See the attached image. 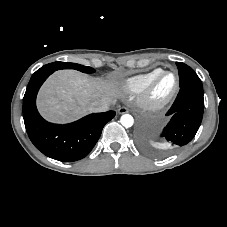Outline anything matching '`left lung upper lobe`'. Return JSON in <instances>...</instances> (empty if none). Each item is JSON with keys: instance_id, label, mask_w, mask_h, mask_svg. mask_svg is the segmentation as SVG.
<instances>
[{"instance_id": "left-lung-upper-lobe-1", "label": "left lung upper lobe", "mask_w": 227, "mask_h": 227, "mask_svg": "<svg viewBox=\"0 0 227 227\" xmlns=\"http://www.w3.org/2000/svg\"><path fill=\"white\" fill-rule=\"evenodd\" d=\"M179 71L180 87L190 85L203 89L202 82L195 71L184 63L176 62Z\"/></svg>"}]
</instances>
